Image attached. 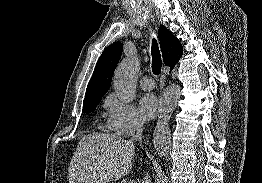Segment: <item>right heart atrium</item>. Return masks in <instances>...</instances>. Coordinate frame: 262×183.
I'll list each match as a JSON object with an SVG mask.
<instances>
[{
    "mask_svg": "<svg viewBox=\"0 0 262 183\" xmlns=\"http://www.w3.org/2000/svg\"><path fill=\"white\" fill-rule=\"evenodd\" d=\"M107 125L121 136H133L144 127V122L136 108L119 101L114 95L106 100Z\"/></svg>",
    "mask_w": 262,
    "mask_h": 183,
    "instance_id": "d8ad5b80",
    "label": "right heart atrium"
}]
</instances>
